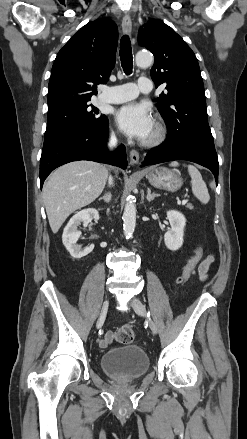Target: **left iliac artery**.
<instances>
[{
	"label": "left iliac artery",
	"mask_w": 247,
	"mask_h": 439,
	"mask_svg": "<svg viewBox=\"0 0 247 439\" xmlns=\"http://www.w3.org/2000/svg\"><path fill=\"white\" fill-rule=\"evenodd\" d=\"M147 316H148V317L150 316V313H149V312H148Z\"/></svg>",
	"instance_id": "44dca946"
}]
</instances>
